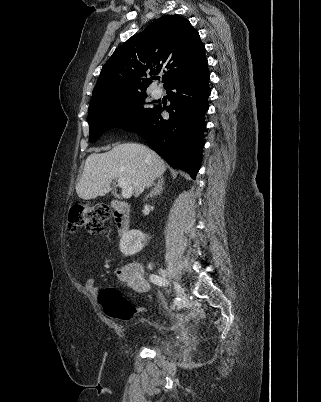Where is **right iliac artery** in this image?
Here are the masks:
<instances>
[{
	"label": "right iliac artery",
	"instance_id": "obj_1",
	"mask_svg": "<svg viewBox=\"0 0 321 402\" xmlns=\"http://www.w3.org/2000/svg\"><path fill=\"white\" fill-rule=\"evenodd\" d=\"M149 278H150L151 282H153L154 284H156L158 286H165L168 284L167 280L165 278H162L159 275L151 274ZM179 301H180V299L176 298L174 302L177 304Z\"/></svg>",
	"mask_w": 321,
	"mask_h": 402
}]
</instances>
